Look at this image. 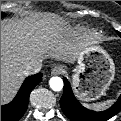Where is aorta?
Masks as SVG:
<instances>
[{"label": "aorta", "instance_id": "obj_1", "mask_svg": "<svg viewBox=\"0 0 121 121\" xmlns=\"http://www.w3.org/2000/svg\"><path fill=\"white\" fill-rule=\"evenodd\" d=\"M49 85L53 91H61L63 88V80L60 77H52Z\"/></svg>", "mask_w": 121, "mask_h": 121}]
</instances>
